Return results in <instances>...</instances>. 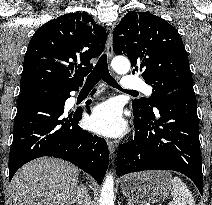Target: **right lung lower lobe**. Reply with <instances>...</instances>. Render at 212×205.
Masks as SVG:
<instances>
[{
  "label": "right lung lower lobe",
  "instance_id": "obj_1",
  "mask_svg": "<svg viewBox=\"0 0 212 205\" xmlns=\"http://www.w3.org/2000/svg\"><path fill=\"white\" fill-rule=\"evenodd\" d=\"M78 88L48 84L20 92L9 158V181L25 163L53 156L70 161L102 183L109 163L106 141L79 127L82 110L64 111L70 92Z\"/></svg>",
  "mask_w": 212,
  "mask_h": 205
}]
</instances>
